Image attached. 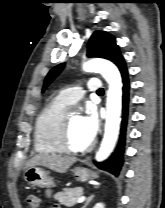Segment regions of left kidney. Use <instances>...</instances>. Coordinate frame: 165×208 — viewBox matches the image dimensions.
Segmentation results:
<instances>
[{"label": "left kidney", "mask_w": 165, "mask_h": 208, "mask_svg": "<svg viewBox=\"0 0 165 208\" xmlns=\"http://www.w3.org/2000/svg\"><path fill=\"white\" fill-rule=\"evenodd\" d=\"M93 208H105L103 203H96Z\"/></svg>", "instance_id": "left-kidney-1"}]
</instances>
